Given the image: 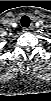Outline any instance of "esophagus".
<instances>
[{"mask_svg":"<svg viewBox=\"0 0 51 101\" xmlns=\"http://www.w3.org/2000/svg\"><path fill=\"white\" fill-rule=\"evenodd\" d=\"M32 30H33L32 27L23 28V32H25V33L31 32Z\"/></svg>","mask_w":51,"mask_h":101,"instance_id":"obj_1","label":"esophagus"}]
</instances>
